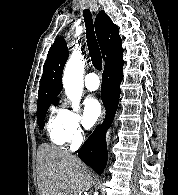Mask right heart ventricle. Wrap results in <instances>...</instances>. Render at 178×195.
Masks as SVG:
<instances>
[{
    "label": "right heart ventricle",
    "mask_w": 178,
    "mask_h": 195,
    "mask_svg": "<svg viewBox=\"0 0 178 195\" xmlns=\"http://www.w3.org/2000/svg\"><path fill=\"white\" fill-rule=\"evenodd\" d=\"M63 119V111L53 110L47 122L48 136L54 144L59 146L69 142L64 130Z\"/></svg>",
    "instance_id": "obj_1"
}]
</instances>
